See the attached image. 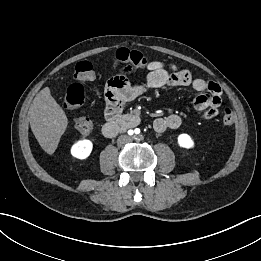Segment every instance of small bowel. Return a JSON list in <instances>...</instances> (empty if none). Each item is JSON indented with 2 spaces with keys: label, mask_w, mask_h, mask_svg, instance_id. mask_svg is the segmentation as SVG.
Instances as JSON below:
<instances>
[{
  "label": "small bowel",
  "mask_w": 261,
  "mask_h": 261,
  "mask_svg": "<svg viewBox=\"0 0 261 261\" xmlns=\"http://www.w3.org/2000/svg\"><path fill=\"white\" fill-rule=\"evenodd\" d=\"M146 80L141 84H132L127 79L128 69L117 70L108 80L105 101L106 117L115 119L121 112L125 103L130 102L151 89L162 87H191L199 93L193 101L197 110H204L203 118L210 120L218 114V107L222 101V89L219 84L202 78H195L184 68L174 63L162 61L151 62L147 66ZM182 123L177 114L161 116L154 120L155 131L162 133L169 129H176Z\"/></svg>",
  "instance_id": "small-bowel-1"
}]
</instances>
